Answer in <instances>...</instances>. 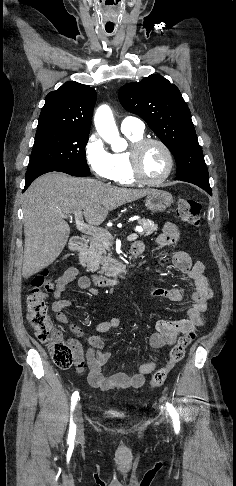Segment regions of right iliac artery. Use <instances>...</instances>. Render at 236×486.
Here are the masks:
<instances>
[{"label":"right iliac artery","instance_id":"right-iliac-artery-1","mask_svg":"<svg viewBox=\"0 0 236 486\" xmlns=\"http://www.w3.org/2000/svg\"><path fill=\"white\" fill-rule=\"evenodd\" d=\"M78 398H79V393L77 391H75L73 394H72V397H71V419H70V428H69V434H68V441L69 442H73L74 439H75V434H76V425L73 421V411H74V408L76 406V403L78 401Z\"/></svg>","mask_w":236,"mask_h":486}]
</instances>
